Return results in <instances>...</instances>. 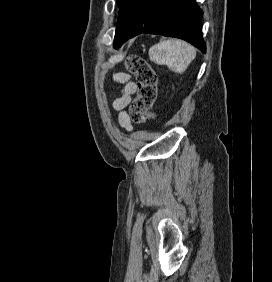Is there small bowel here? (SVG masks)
<instances>
[{"mask_svg": "<svg viewBox=\"0 0 272 282\" xmlns=\"http://www.w3.org/2000/svg\"><path fill=\"white\" fill-rule=\"evenodd\" d=\"M113 79L122 83V90L119 97L114 100L113 108L118 112L119 124L127 130H131L132 123L126 109L137 91V84L124 73L115 74Z\"/></svg>", "mask_w": 272, "mask_h": 282, "instance_id": "c3829d8e", "label": "small bowel"}]
</instances>
